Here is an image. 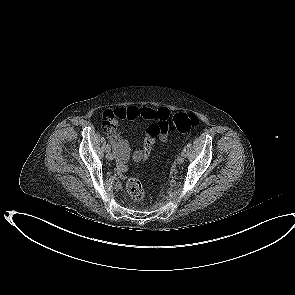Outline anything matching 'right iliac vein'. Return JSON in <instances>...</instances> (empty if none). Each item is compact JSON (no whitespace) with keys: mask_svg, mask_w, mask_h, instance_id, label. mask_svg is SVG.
I'll use <instances>...</instances> for the list:
<instances>
[{"mask_svg":"<svg viewBox=\"0 0 295 295\" xmlns=\"http://www.w3.org/2000/svg\"><path fill=\"white\" fill-rule=\"evenodd\" d=\"M106 158H107L108 160H114V158H115V154H114L113 152H111V150H108V151H107V154H106Z\"/></svg>","mask_w":295,"mask_h":295,"instance_id":"63e3f726","label":"right iliac vein"}]
</instances>
